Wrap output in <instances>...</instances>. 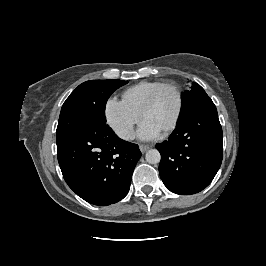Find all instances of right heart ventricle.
<instances>
[{
    "instance_id": "1",
    "label": "right heart ventricle",
    "mask_w": 266,
    "mask_h": 266,
    "mask_svg": "<svg viewBox=\"0 0 266 266\" xmlns=\"http://www.w3.org/2000/svg\"><path fill=\"white\" fill-rule=\"evenodd\" d=\"M164 84L161 81H142L129 88L123 94V101L134 111L140 114L143 105L148 100L150 95L159 86Z\"/></svg>"
}]
</instances>
